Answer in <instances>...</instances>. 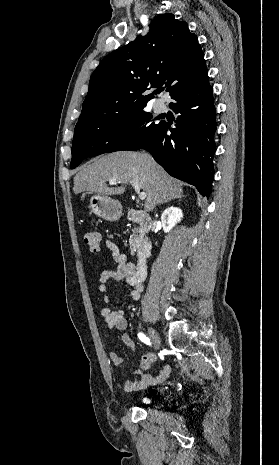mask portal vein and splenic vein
Segmentation results:
<instances>
[{
  "label": "portal vein and splenic vein",
  "mask_w": 279,
  "mask_h": 465,
  "mask_svg": "<svg viewBox=\"0 0 279 465\" xmlns=\"http://www.w3.org/2000/svg\"><path fill=\"white\" fill-rule=\"evenodd\" d=\"M116 183H117V180H110V181H109V184H110V185H113V184H116ZM131 184L133 185V187H134L136 193L138 194L139 199L142 200V201L145 200L146 197H147V195H146L145 192H140L139 184H138L137 182H134V181L131 182Z\"/></svg>",
  "instance_id": "18ae733b"
}]
</instances>
